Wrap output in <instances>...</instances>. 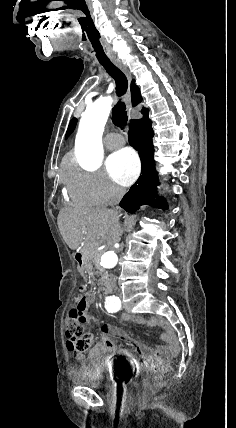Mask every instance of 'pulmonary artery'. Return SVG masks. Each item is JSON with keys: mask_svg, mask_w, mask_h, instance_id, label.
Segmentation results:
<instances>
[{"mask_svg": "<svg viewBox=\"0 0 236 428\" xmlns=\"http://www.w3.org/2000/svg\"><path fill=\"white\" fill-rule=\"evenodd\" d=\"M115 134H110L109 135V138L110 137H112V136H114ZM123 144H125V140L124 139H122L119 143H111V142H107L106 143V146H107V148H109V149H117V148H119V147H121Z\"/></svg>", "mask_w": 236, "mask_h": 428, "instance_id": "pulmonary-artery-1", "label": "pulmonary artery"}]
</instances>
